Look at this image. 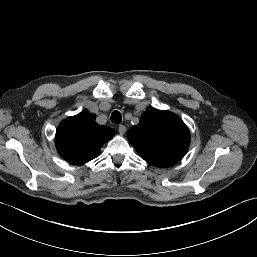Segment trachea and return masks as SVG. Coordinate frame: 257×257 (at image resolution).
<instances>
[{
    "instance_id": "1",
    "label": "trachea",
    "mask_w": 257,
    "mask_h": 257,
    "mask_svg": "<svg viewBox=\"0 0 257 257\" xmlns=\"http://www.w3.org/2000/svg\"><path fill=\"white\" fill-rule=\"evenodd\" d=\"M111 121L115 124H120L122 122V115L119 111L115 110L111 114Z\"/></svg>"
}]
</instances>
